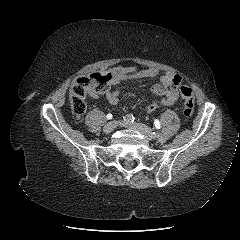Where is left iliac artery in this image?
<instances>
[{"label": "left iliac artery", "mask_w": 240, "mask_h": 240, "mask_svg": "<svg viewBox=\"0 0 240 240\" xmlns=\"http://www.w3.org/2000/svg\"><path fill=\"white\" fill-rule=\"evenodd\" d=\"M154 133H155V132H154ZM166 136H167V135H166V133H164V132H163V133H161V132H158V133H157V137H158V139H160V140L166 138Z\"/></svg>", "instance_id": "obj_1"}]
</instances>
